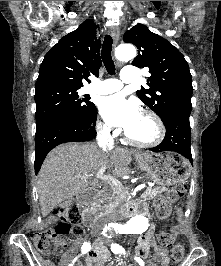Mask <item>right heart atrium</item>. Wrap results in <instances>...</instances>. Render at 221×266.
I'll use <instances>...</instances> for the list:
<instances>
[{
	"instance_id": "right-heart-atrium-1",
	"label": "right heart atrium",
	"mask_w": 221,
	"mask_h": 266,
	"mask_svg": "<svg viewBox=\"0 0 221 266\" xmlns=\"http://www.w3.org/2000/svg\"><path fill=\"white\" fill-rule=\"evenodd\" d=\"M96 130H97L98 134L101 136H111V135L115 134V131H113L111 129V127L103 121L97 122Z\"/></svg>"
}]
</instances>
